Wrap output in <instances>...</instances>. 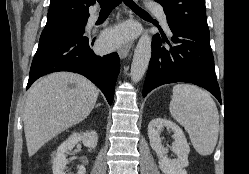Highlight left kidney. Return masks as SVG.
Returning a JSON list of instances; mask_svg holds the SVG:
<instances>
[{
    "label": "left kidney",
    "instance_id": "5707ae66",
    "mask_svg": "<svg viewBox=\"0 0 249 174\" xmlns=\"http://www.w3.org/2000/svg\"><path fill=\"white\" fill-rule=\"evenodd\" d=\"M166 127L171 130L174 138L172 145L173 152L177 155L176 159H169L166 154L168 149L162 145L160 132ZM148 137L150 146L156 152L159 159V168L164 174H187L185 167L188 166V154L190 147L182 129L174 122L156 118L150 121L148 125Z\"/></svg>",
    "mask_w": 249,
    "mask_h": 174
}]
</instances>
